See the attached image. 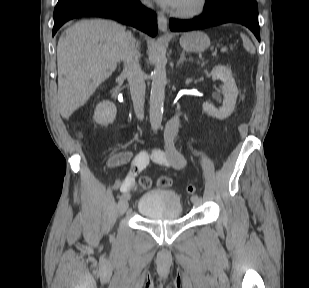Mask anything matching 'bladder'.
<instances>
[{"label":"bladder","mask_w":309,"mask_h":288,"mask_svg":"<svg viewBox=\"0 0 309 288\" xmlns=\"http://www.w3.org/2000/svg\"><path fill=\"white\" fill-rule=\"evenodd\" d=\"M180 195L173 190L156 189L146 192L137 205L138 213L145 218H177L181 214Z\"/></svg>","instance_id":"31cf9c89"}]
</instances>
